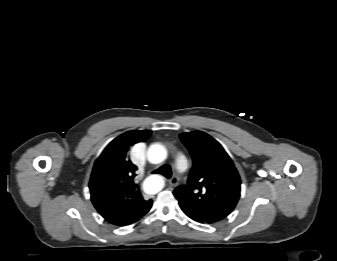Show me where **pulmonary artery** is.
Wrapping results in <instances>:
<instances>
[{"label": "pulmonary artery", "mask_w": 337, "mask_h": 261, "mask_svg": "<svg viewBox=\"0 0 337 261\" xmlns=\"http://www.w3.org/2000/svg\"><path fill=\"white\" fill-rule=\"evenodd\" d=\"M176 166H177V169L180 171V172H184L187 168V161L184 157H179L176 161Z\"/></svg>", "instance_id": "1"}]
</instances>
